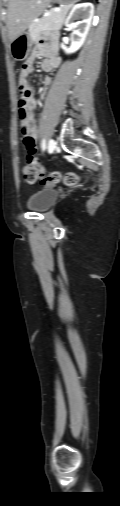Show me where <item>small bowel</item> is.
Returning a JSON list of instances; mask_svg holds the SVG:
<instances>
[{
    "mask_svg": "<svg viewBox=\"0 0 120 506\" xmlns=\"http://www.w3.org/2000/svg\"><path fill=\"white\" fill-rule=\"evenodd\" d=\"M37 56L43 57L41 65L43 71H51L56 68L60 63V58L58 56V44L55 38H52V40L47 43L43 41H39L37 43L32 55L22 65L19 76V86L28 88L30 91V95L26 100L25 107L19 116L22 133L23 135L34 138L35 141L38 136V128L34 117L35 99L28 82V77L33 73V62ZM50 83L51 79L49 77H45L43 79L41 87L42 97L45 96L46 90L49 87Z\"/></svg>",
    "mask_w": 120,
    "mask_h": 506,
    "instance_id": "c3829d8e",
    "label": "small bowel"
}]
</instances>
